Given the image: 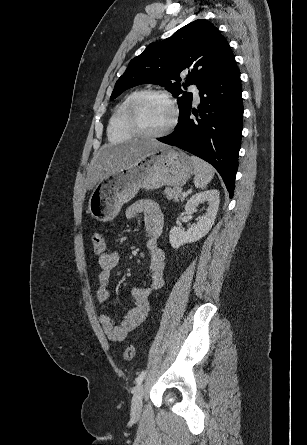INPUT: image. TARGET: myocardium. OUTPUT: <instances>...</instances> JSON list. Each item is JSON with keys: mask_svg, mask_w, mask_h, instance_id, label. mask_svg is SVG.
I'll return each instance as SVG.
<instances>
[{"mask_svg": "<svg viewBox=\"0 0 307 445\" xmlns=\"http://www.w3.org/2000/svg\"><path fill=\"white\" fill-rule=\"evenodd\" d=\"M153 97L161 98L164 101H166L170 105L171 110H172L171 121L162 131L157 132V133H152V132L147 131L144 128V126L142 125L141 120H140L141 106L143 105V103L146 100H148L149 98H153ZM178 118H179V110H178V107H177L175 101L171 98V96H169L168 94H166L165 92L160 91V90L144 91L141 95H139L134 100V102L131 105L130 111H129L130 125H131L134 133L137 134L138 136H140L139 137L140 140L165 138L176 127Z\"/></svg>", "mask_w": 307, "mask_h": 445, "instance_id": "1", "label": "myocardium"}]
</instances>
